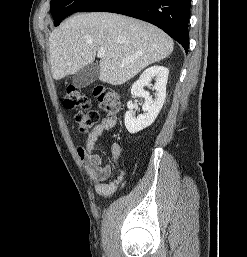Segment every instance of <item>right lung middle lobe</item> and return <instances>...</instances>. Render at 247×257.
Returning a JSON list of instances; mask_svg holds the SVG:
<instances>
[{"mask_svg":"<svg viewBox=\"0 0 247 257\" xmlns=\"http://www.w3.org/2000/svg\"><path fill=\"white\" fill-rule=\"evenodd\" d=\"M91 0H51V13L54 18V26L67 16L79 11Z\"/></svg>","mask_w":247,"mask_h":257,"instance_id":"1","label":"right lung middle lobe"}]
</instances>
